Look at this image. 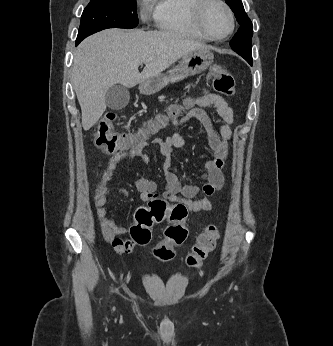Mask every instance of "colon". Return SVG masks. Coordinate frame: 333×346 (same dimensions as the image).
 <instances>
[{"mask_svg":"<svg viewBox=\"0 0 333 346\" xmlns=\"http://www.w3.org/2000/svg\"><path fill=\"white\" fill-rule=\"evenodd\" d=\"M213 85L215 90L224 95L232 96L235 90V80L227 69L213 67ZM180 115V108L173 106L165 113L150 120L141 130L135 133L117 132L113 127L116 119L114 113H108L97 126L94 135L96 146L107 153H124L145 143L156 133L163 130L171 119ZM187 216L186 208L181 204L169 205L163 199H154L147 206L138 208L134 214L135 223L130 232L136 236V246L146 245L151 240V228L154 224L168 219L171 223L165 230V238L153 248L154 256L161 261H169L174 257V248L182 245L188 235L184 220ZM219 238V229L211 225L198 237L187 257V263L198 268L215 249Z\"/></svg>","mask_w":333,"mask_h":346,"instance_id":"5ec220e1","label":"colon"}]
</instances>
